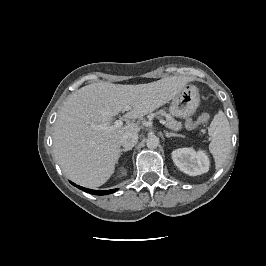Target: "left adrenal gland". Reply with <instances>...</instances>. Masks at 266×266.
Returning a JSON list of instances; mask_svg holds the SVG:
<instances>
[{"mask_svg": "<svg viewBox=\"0 0 266 266\" xmlns=\"http://www.w3.org/2000/svg\"><path fill=\"white\" fill-rule=\"evenodd\" d=\"M165 136L167 138H170V137H183L182 135L175 134V133H169V132H165Z\"/></svg>", "mask_w": 266, "mask_h": 266, "instance_id": "1", "label": "left adrenal gland"}]
</instances>
